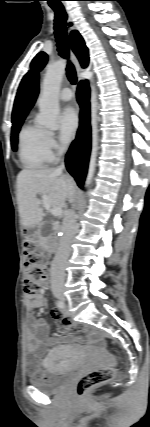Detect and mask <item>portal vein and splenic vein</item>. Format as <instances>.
Wrapping results in <instances>:
<instances>
[{"label": "portal vein and splenic vein", "instance_id": "1", "mask_svg": "<svg viewBox=\"0 0 150 427\" xmlns=\"http://www.w3.org/2000/svg\"><path fill=\"white\" fill-rule=\"evenodd\" d=\"M41 201L43 203L44 208L46 210H49L53 216H60L62 214V208L60 207L51 208L50 202L47 196L43 195Z\"/></svg>", "mask_w": 150, "mask_h": 427}]
</instances>
